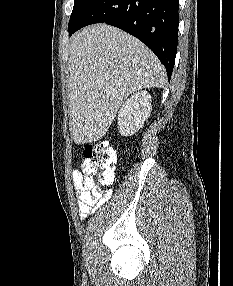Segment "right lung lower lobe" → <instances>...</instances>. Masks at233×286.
I'll return each instance as SVG.
<instances>
[{
	"mask_svg": "<svg viewBox=\"0 0 233 286\" xmlns=\"http://www.w3.org/2000/svg\"><path fill=\"white\" fill-rule=\"evenodd\" d=\"M179 0H91L70 36L94 23H107L137 37L164 64L170 79L178 42Z\"/></svg>",
	"mask_w": 233,
	"mask_h": 286,
	"instance_id": "right-lung-lower-lobe-1",
	"label": "right lung lower lobe"
}]
</instances>
